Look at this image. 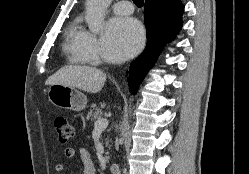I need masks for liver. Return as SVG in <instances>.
<instances>
[{
  "label": "liver",
  "instance_id": "6515ba94",
  "mask_svg": "<svg viewBox=\"0 0 249 174\" xmlns=\"http://www.w3.org/2000/svg\"><path fill=\"white\" fill-rule=\"evenodd\" d=\"M106 75L90 66L70 65L48 77L46 85L61 84L78 88L88 93H98L104 86Z\"/></svg>",
  "mask_w": 249,
  "mask_h": 174
}]
</instances>
